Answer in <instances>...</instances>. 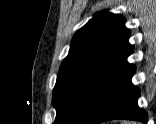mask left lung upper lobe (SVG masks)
<instances>
[{"label":"left lung upper lobe","mask_w":156,"mask_h":124,"mask_svg":"<svg viewBox=\"0 0 156 124\" xmlns=\"http://www.w3.org/2000/svg\"><path fill=\"white\" fill-rule=\"evenodd\" d=\"M125 19L97 13L79 29L63 60L53 90V124H78L108 78L132 53Z\"/></svg>","instance_id":"left-lung-upper-lobe-1"}]
</instances>
